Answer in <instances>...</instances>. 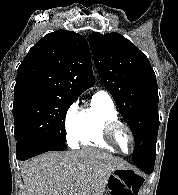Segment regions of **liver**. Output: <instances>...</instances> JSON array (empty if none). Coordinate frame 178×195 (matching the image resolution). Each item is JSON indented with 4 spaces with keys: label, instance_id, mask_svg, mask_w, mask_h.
<instances>
[{
    "label": "liver",
    "instance_id": "obj_1",
    "mask_svg": "<svg viewBox=\"0 0 178 195\" xmlns=\"http://www.w3.org/2000/svg\"><path fill=\"white\" fill-rule=\"evenodd\" d=\"M21 169L24 195H103L111 173L128 167L121 158L84 149L48 152Z\"/></svg>",
    "mask_w": 178,
    "mask_h": 195
}]
</instances>
